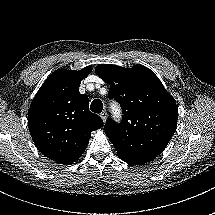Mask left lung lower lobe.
Listing matches in <instances>:
<instances>
[{
  "mask_svg": "<svg viewBox=\"0 0 215 215\" xmlns=\"http://www.w3.org/2000/svg\"><path fill=\"white\" fill-rule=\"evenodd\" d=\"M124 162L131 164V165H140V164H144L147 163L149 161L152 160H145V159H135V158H126L123 156H119Z\"/></svg>",
  "mask_w": 215,
  "mask_h": 215,
  "instance_id": "1",
  "label": "left lung lower lobe"
}]
</instances>
